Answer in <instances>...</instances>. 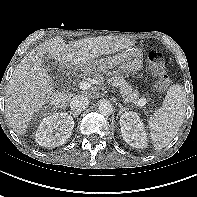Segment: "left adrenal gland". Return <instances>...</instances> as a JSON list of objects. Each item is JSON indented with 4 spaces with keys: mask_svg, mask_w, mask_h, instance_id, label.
Segmentation results:
<instances>
[{
    "mask_svg": "<svg viewBox=\"0 0 197 197\" xmlns=\"http://www.w3.org/2000/svg\"><path fill=\"white\" fill-rule=\"evenodd\" d=\"M118 107L120 108L119 110V115H121L123 112H126L127 108L123 107L122 104H118Z\"/></svg>",
    "mask_w": 197,
    "mask_h": 197,
    "instance_id": "a2214340",
    "label": "left adrenal gland"
}]
</instances>
